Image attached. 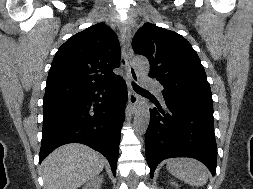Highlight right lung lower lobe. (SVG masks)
<instances>
[{"instance_id": "obj_1", "label": "right lung lower lobe", "mask_w": 253, "mask_h": 189, "mask_svg": "<svg viewBox=\"0 0 253 189\" xmlns=\"http://www.w3.org/2000/svg\"><path fill=\"white\" fill-rule=\"evenodd\" d=\"M126 97L121 77L105 85L46 92L39 162L63 144L83 143L108 159L115 176Z\"/></svg>"}]
</instances>
